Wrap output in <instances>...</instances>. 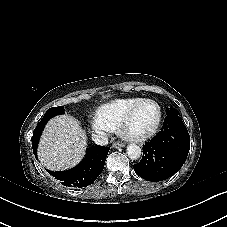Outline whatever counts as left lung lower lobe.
Instances as JSON below:
<instances>
[{"mask_svg": "<svg viewBox=\"0 0 227 227\" xmlns=\"http://www.w3.org/2000/svg\"><path fill=\"white\" fill-rule=\"evenodd\" d=\"M190 136L179 116L167 115L161 132L143 146V156L134 171L148 181H162L174 175L185 163Z\"/></svg>", "mask_w": 227, "mask_h": 227, "instance_id": "left-lung-lower-lobe-1", "label": "left lung lower lobe"}]
</instances>
